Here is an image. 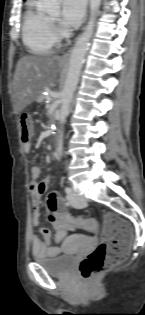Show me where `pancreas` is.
Returning a JSON list of instances; mask_svg holds the SVG:
<instances>
[{
  "label": "pancreas",
  "mask_w": 145,
  "mask_h": 315,
  "mask_svg": "<svg viewBox=\"0 0 145 315\" xmlns=\"http://www.w3.org/2000/svg\"><path fill=\"white\" fill-rule=\"evenodd\" d=\"M47 98H48L47 96H43V95L40 97L42 101L46 100Z\"/></svg>",
  "instance_id": "cf45deb5"
}]
</instances>
